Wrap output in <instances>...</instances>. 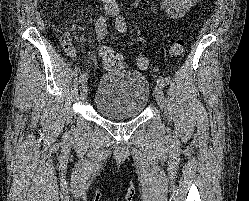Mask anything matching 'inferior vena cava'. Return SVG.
Instances as JSON below:
<instances>
[{
    "mask_svg": "<svg viewBox=\"0 0 249 201\" xmlns=\"http://www.w3.org/2000/svg\"><path fill=\"white\" fill-rule=\"evenodd\" d=\"M105 6H113L115 5V0H102Z\"/></svg>",
    "mask_w": 249,
    "mask_h": 201,
    "instance_id": "inferior-vena-cava-1",
    "label": "inferior vena cava"
}]
</instances>
